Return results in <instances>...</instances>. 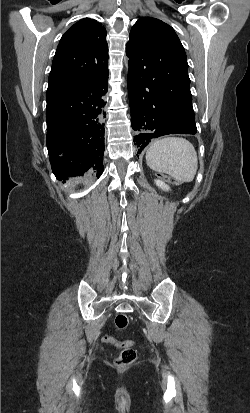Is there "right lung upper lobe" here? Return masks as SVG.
Segmentation results:
<instances>
[{"mask_svg":"<svg viewBox=\"0 0 250 413\" xmlns=\"http://www.w3.org/2000/svg\"><path fill=\"white\" fill-rule=\"evenodd\" d=\"M106 29L85 18L61 38L48 80L47 92H56L92 81L108 71Z\"/></svg>","mask_w":250,"mask_h":413,"instance_id":"right-lung-upper-lobe-1","label":"right lung upper lobe"}]
</instances>
